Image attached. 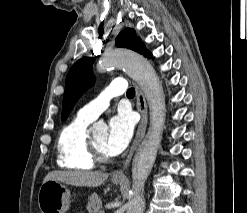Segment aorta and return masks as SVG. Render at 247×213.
<instances>
[{"label": "aorta", "mask_w": 247, "mask_h": 213, "mask_svg": "<svg viewBox=\"0 0 247 213\" xmlns=\"http://www.w3.org/2000/svg\"><path fill=\"white\" fill-rule=\"evenodd\" d=\"M111 67L124 68L141 87L150 110V127L140 144L132 166V199L127 213H143L144 184L155 162L165 123V95L152 65L141 55L126 49H114L104 53L97 70L104 72ZM104 123H95L93 132L105 129Z\"/></svg>", "instance_id": "obj_1"}]
</instances>
